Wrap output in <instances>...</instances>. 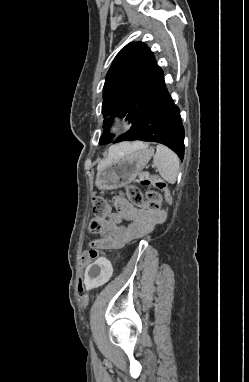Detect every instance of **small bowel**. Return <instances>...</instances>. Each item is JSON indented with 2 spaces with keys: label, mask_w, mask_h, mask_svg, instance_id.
Masks as SVG:
<instances>
[{
  "label": "small bowel",
  "mask_w": 249,
  "mask_h": 382,
  "mask_svg": "<svg viewBox=\"0 0 249 382\" xmlns=\"http://www.w3.org/2000/svg\"><path fill=\"white\" fill-rule=\"evenodd\" d=\"M116 212L108 216H95L89 229L99 234L101 239L97 245L101 248L114 249L149 234L157 224L166 219L163 210L152 211L146 208L135 207L127 199L117 197L114 199ZM125 221L128 225L121 223ZM83 284L80 285L82 288Z\"/></svg>",
  "instance_id": "1"
}]
</instances>
